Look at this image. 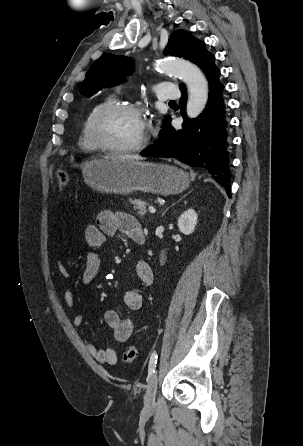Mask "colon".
Listing matches in <instances>:
<instances>
[{"instance_id":"5ec220e1","label":"colon","mask_w":303,"mask_h":446,"mask_svg":"<svg viewBox=\"0 0 303 446\" xmlns=\"http://www.w3.org/2000/svg\"><path fill=\"white\" fill-rule=\"evenodd\" d=\"M56 180H57V184H58V187L60 188V190L66 191L68 189L69 184H70V178H69V175L65 171L58 170L56 172ZM138 352H139V350L136 345L128 346L122 355V359H123L124 363L130 364V363L134 362L138 356Z\"/></svg>"}]
</instances>
